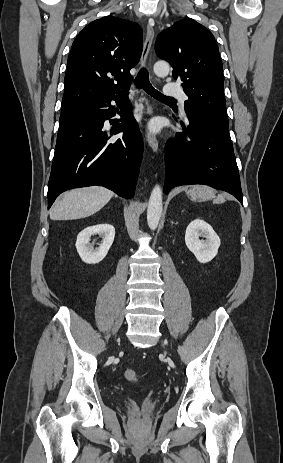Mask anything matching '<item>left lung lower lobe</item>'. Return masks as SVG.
Wrapping results in <instances>:
<instances>
[{
  "label": "left lung lower lobe",
  "mask_w": 283,
  "mask_h": 463,
  "mask_svg": "<svg viewBox=\"0 0 283 463\" xmlns=\"http://www.w3.org/2000/svg\"><path fill=\"white\" fill-rule=\"evenodd\" d=\"M182 134L165 146L164 192L178 185L206 184L234 195L242 204L238 167L228 126L187 115Z\"/></svg>",
  "instance_id": "0a47b994"
}]
</instances>
